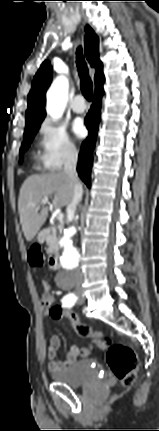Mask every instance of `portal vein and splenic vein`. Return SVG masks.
<instances>
[{"label": "portal vein and splenic vein", "instance_id": "obj_1", "mask_svg": "<svg viewBox=\"0 0 159 431\" xmlns=\"http://www.w3.org/2000/svg\"><path fill=\"white\" fill-rule=\"evenodd\" d=\"M46 204H49V199L47 197L44 198V200L42 201V205H46ZM36 209L39 210L40 207H37ZM63 218H64V215L62 213L57 214V220L62 221Z\"/></svg>", "mask_w": 159, "mask_h": 431}]
</instances>
